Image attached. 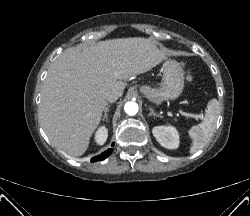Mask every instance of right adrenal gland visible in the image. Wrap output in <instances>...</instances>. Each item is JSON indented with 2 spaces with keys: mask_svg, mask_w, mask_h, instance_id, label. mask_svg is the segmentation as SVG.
<instances>
[{
  "mask_svg": "<svg viewBox=\"0 0 250 216\" xmlns=\"http://www.w3.org/2000/svg\"><path fill=\"white\" fill-rule=\"evenodd\" d=\"M109 108H110V105H108L105 110H104V114L102 116L103 120H105L106 122L108 121V112H109Z\"/></svg>",
  "mask_w": 250,
  "mask_h": 216,
  "instance_id": "obj_1",
  "label": "right adrenal gland"
}]
</instances>
